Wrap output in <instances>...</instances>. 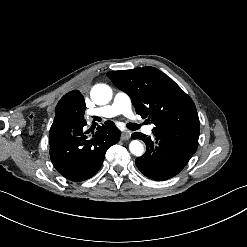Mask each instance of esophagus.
Returning <instances> with one entry per match:
<instances>
[{
  "instance_id": "1",
  "label": "esophagus",
  "mask_w": 247,
  "mask_h": 247,
  "mask_svg": "<svg viewBox=\"0 0 247 247\" xmlns=\"http://www.w3.org/2000/svg\"><path fill=\"white\" fill-rule=\"evenodd\" d=\"M130 133L129 132H123L122 134H121V139L123 140V141H126V140H128L129 138H130Z\"/></svg>"
}]
</instances>
